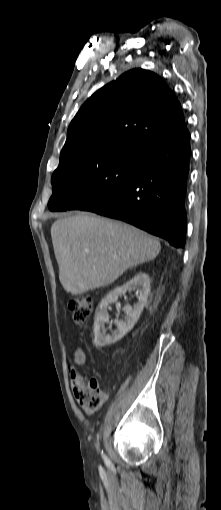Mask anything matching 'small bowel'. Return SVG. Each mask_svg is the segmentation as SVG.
Listing matches in <instances>:
<instances>
[{
  "instance_id": "small-bowel-1",
  "label": "small bowel",
  "mask_w": 221,
  "mask_h": 510,
  "mask_svg": "<svg viewBox=\"0 0 221 510\" xmlns=\"http://www.w3.org/2000/svg\"><path fill=\"white\" fill-rule=\"evenodd\" d=\"M86 363V355L82 348L78 347L73 353V364L68 367L70 375L71 387L76 400L79 402V398L82 391V384L79 379L78 368L83 367ZM80 403V402H79ZM86 413L92 414L93 411L87 410L83 407Z\"/></svg>"
}]
</instances>
